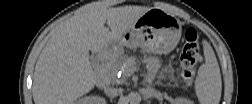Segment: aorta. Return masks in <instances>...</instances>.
<instances>
[{"label": "aorta", "instance_id": "obj_1", "mask_svg": "<svg viewBox=\"0 0 252 104\" xmlns=\"http://www.w3.org/2000/svg\"><path fill=\"white\" fill-rule=\"evenodd\" d=\"M127 101L130 104H139L141 102V95L138 92H131L127 96Z\"/></svg>", "mask_w": 252, "mask_h": 104}]
</instances>
